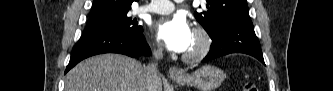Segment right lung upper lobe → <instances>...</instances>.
I'll return each mask as SVG.
<instances>
[{"label":"right lung upper lobe","instance_id":"obj_1","mask_svg":"<svg viewBox=\"0 0 333 91\" xmlns=\"http://www.w3.org/2000/svg\"><path fill=\"white\" fill-rule=\"evenodd\" d=\"M133 0H94L90 19L111 16L129 11Z\"/></svg>","mask_w":333,"mask_h":91}]
</instances>
